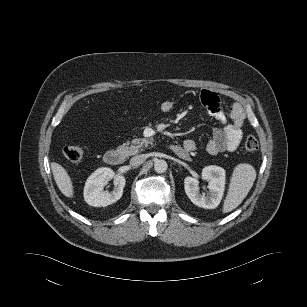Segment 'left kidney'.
Here are the masks:
<instances>
[{
	"label": "left kidney",
	"mask_w": 307,
	"mask_h": 307,
	"mask_svg": "<svg viewBox=\"0 0 307 307\" xmlns=\"http://www.w3.org/2000/svg\"><path fill=\"white\" fill-rule=\"evenodd\" d=\"M202 178L208 181L209 193L201 194L197 178L187 176L184 189L191 202L205 209H215L221 202L225 188V170L219 166H206L202 170Z\"/></svg>",
	"instance_id": "obj_1"
}]
</instances>
